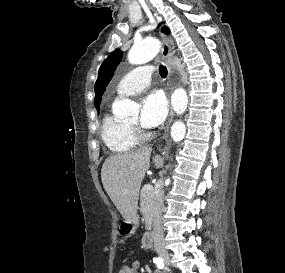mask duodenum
Segmentation results:
<instances>
[{
    "instance_id": "410a0bca",
    "label": "duodenum",
    "mask_w": 285,
    "mask_h": 273,
    "mask_svg": "<svg viewBox=\"0 0 285 273\" xmlns=\"http://www.w3.org/2000/svg\"><path fill=\"white\" fill-rule=\"evenodd\" d=\"M153 242V233L151 231H147L144 233L142 237V244L146 249H149Z\"/></svg>"
}]
</instances>
